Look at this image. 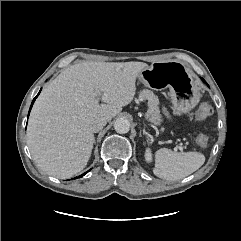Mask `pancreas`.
Returning <instances> with one entry per match:
<instances>
[{
    "instance_id": "1",
    "label": "pancreas",
    "mask_w": 241,
    "mask_h": 241,
    "mask_svg": "<svg viewBox=\"0 0 241 241\" xmlns=\"http://www.w3.org/2000/svg\"><path fill=\"white\" fill-rule=\"evenodd\" d=\"M140 100H148V110L146 112L145 118L155 125H159L162 121L161 114L159 110V99L150 90L144 89L139 93Z\"/></svg>"
}]
</instances>
